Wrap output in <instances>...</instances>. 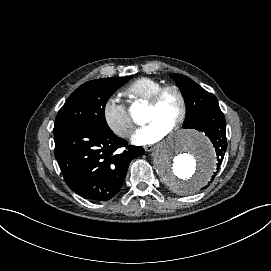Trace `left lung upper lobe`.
<instances>
[{
  "mask_svg": "<svg viewBox=\"0 0 271 271\" xmlns=\"http://www.w3.org/2000/svg\"><path fill=\"white\" fill-rule=\"evenodd\" d=\"M177 86L186 100V118L183 128H195L210 112L219 108L217 98L208 93L189 77L181 74H172Z\"/></svg>",
  "mask_w": 271,
  "mask_h": 271,
  "instance_id": "left-lung-upper-lobe-1",
  "label": "left lung upper lobe"
}]
</instances>
